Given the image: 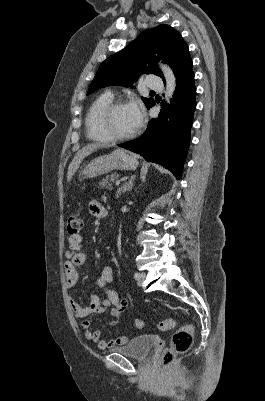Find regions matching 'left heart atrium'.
<instances>
[{
  "instance_id": "left-heart-atrium-1",
  "label": "left heart atrium",
  "mask_w": 265,
  "mask_h": 401,
  "mask_svg": "<svg viewBox=\"0 0 265 401\" xmlns=\"http://www.w3.org/2000/svg\"><path fill=\"white\" fill-rule=\"evenodd\" d=\"M128 106L137 127L141 123L143 117V107L139 101H134Z\"/></svg>"
}]
</instances>
